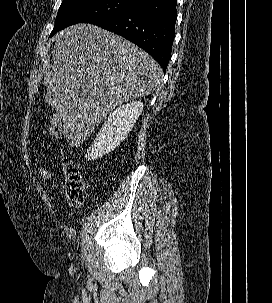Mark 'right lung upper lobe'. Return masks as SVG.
Here are the masks:
<instances>
[{"label":"right lung upper lobe","mask_w":272,"mask_h":303,"mask_svg":"<svg viewBox=\"0 0 272 303\" xmlns=\"http://www.w3.org/2000/svg\"><path fill=\"white\" fill-rule=\"evenodd\" d=\"M133 1H135L138 5H140V4H143V3L147 2V1H150V0H133Z\"/></svg>","instance_id":"cb5924a9"}]
</instances>
